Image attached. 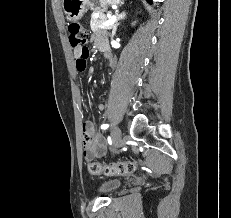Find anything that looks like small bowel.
Segmentation results:
<instances>
[{
	"label": "small bowel",
	"instance_id": "c3829d8e",
	"mask_svg": "<svg viewBox=\"0 0 231 218\" xmlns=\"http://www.w3.org/2000/svg\"><path fill=\"white\" fill-rule=\"evenodd\" d=\"M93 39L100 50L104 52L107 51V46L102 35L96 34ZM80 53L81 50L79 48H74V55L76 56V68L79 72H83L89 62L87 56H82V58H78ZM98 109L100 111H103L105 109V105L100 104L98 106ZM93 133V125L91 123L84 124L82 133L83 155L86 159L103 156L106 152V145L103 141V138L100 135H94Z\"/></svg>",
	"mask_w": 231,
	"mask_h": 218
}]
</instances>
